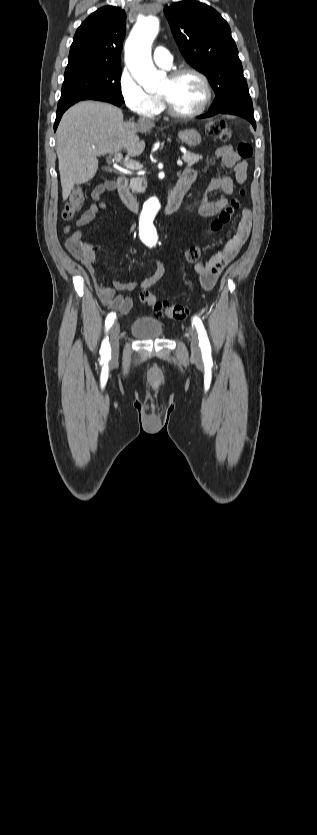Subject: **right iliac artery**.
Wrapping results in <instances>:
<instances>
[{"label":"right iliac artery","mask_w":317,"mask_h":835,"mask_svg":"<svg viewBox=\"0 0 317 835\" xmlns=\"http://www.w3.org/2000/svg\"><path fill=\"white\" fill-rule=\"evenodd\" d=\"M115 317H116V313H114V312L109 313L108 316L106 317V320H105L106 331H108L109 328L114 323ZM100 353H101V357L103 359H109L110 353H111V347H110V344L108 342V337H106L103 340Z\"/></svg>","instance_id":"1"}]
</instances>
